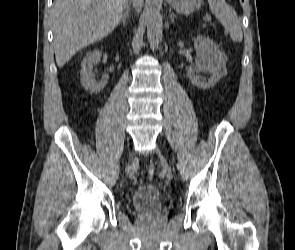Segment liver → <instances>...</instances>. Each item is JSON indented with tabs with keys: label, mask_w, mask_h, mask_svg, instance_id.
<instances>
[{
	"label": "liver",
	"mask_w": 295,
	"mask_h": 250,
	"mask_svg": "<svg viewBox=\"0 0 295 250\" xmlns=\"http://www.w3.org/2000/svg\"><path fill=\"white\" fill-rule=\"evenodd\" d=\"M127 0H55L54 50L63 67L79 50L107 35L119 24ZM143 0H139L141 8Z\"/></svg>",
	"instance_id": "1"
}]
</instances>
